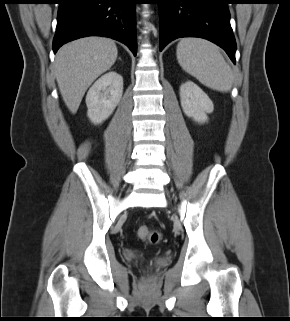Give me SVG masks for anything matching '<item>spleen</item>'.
<instances>
[{"label": "spleen", "mask_w": 290, "mask_h": 321, "mask_svg": "<svg viewBox=\"0 0 290 321\" xmlns=\"http://www.w3.org/2000/svg\"><path fill=\"white\" fill-rule=\"evenodd\" d=\"M177 59L181 67L212 89L227 92L233 83L231 67L219 47L196 38L182 39L177 45Z\"/></svg>", "instance_id": "3e777b00"}]
</instances>
